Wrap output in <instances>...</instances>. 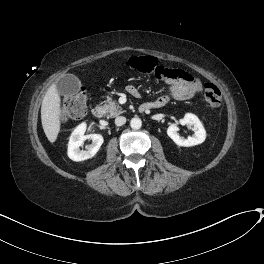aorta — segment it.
Wrapping results in <instances>:
<instances>
[{
  "label": "aorta",
  "instance_id": "obj_1",
  "mask_svg": "<svg viewBox=\"0 0 264 264\" xmlns=\"http://www.w3.org/2000/svg\"><path fill=\"white\" fill-rule=\"evenodd\" d=\"M130 126L132 129L137 130L142 126V121L139 118H132L130 121Z\"/></svg>",
  "mask_w": 264,
  "mask_h": 264
}]
</instances>
